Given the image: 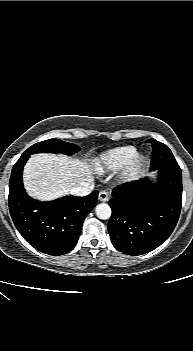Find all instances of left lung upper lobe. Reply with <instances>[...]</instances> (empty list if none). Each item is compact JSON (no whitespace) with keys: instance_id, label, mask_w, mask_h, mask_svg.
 <instances>
[{"instance_id":"left-lung-upper-lobe-1","label":"left lung upper lobe","mask_w":193,"mask_h":351,"mask_svg":"<svg viewBox=\"0 0 193 351\" xmlns=\"http://www.w3.org/2000/svg\"><path fill=\"white\" fill-rule=\"evenodd\" d=\"M147 142H150L153 147L151 170L177 164L171 150L165 144L155 139H149Z\"/></svg>"}]
</instances>
